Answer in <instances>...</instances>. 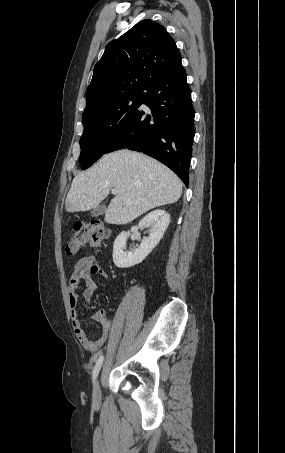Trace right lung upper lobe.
Wrapping results in <instances>:
<instances>
[{"label": "right lung upper lobe", "instance_id": "cb5924a9", "mask_svg": "<svg viewBox=\"0 0 285 453\" xmlns=\"http://www.w3.org/2000/svg\"><path fill=\"white\" fill-rule=\"evenodd\" d=\"M179 63L181 55L165 28L152 20L140 21L107 44L94 67L84 112L114 97L142 93L152 79Z\"/></svg>", "mask_w": 285, "mask_h": 453}]
</instances>
